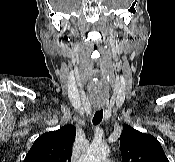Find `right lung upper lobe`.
Segmentation results:
<instances>
[{
  "mask_svg": "<svg viewBox=\"0 0 175 162\" xmlns=\"http://www.w3.org/2000/svg\"><path fill=\"white\" fill-rule=\"evenodd\" d=\"M75 134L73 125L44 133L33 143L24 162H71Z\"/></svg>",
  "mask_w": 175,
  "mask_h": 162,
  "instance_id": "obj_1",
  "label": "right lung upper lobe"
}]
</instances>
